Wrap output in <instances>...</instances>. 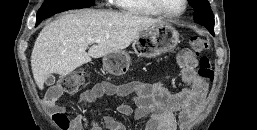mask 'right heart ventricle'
Wrapping results in <instances>:
<instances>
[{
    "label": "right heart ventricle",
    "mask_w": 257,
    "mask_h": 130,
    "mask_svg": "<svg viewBox=\"0 0 257 130\" xmlns=\"http://www.w3.org/2000/svg\"><path fill=\"white\" fill-rule=\"evenodd\" d=\"M123 12L137 16H157L160 13L152 6L150 0H113Z\"/></svg>",
    "instance_id": "e07e8e85"
}]
</instances>
